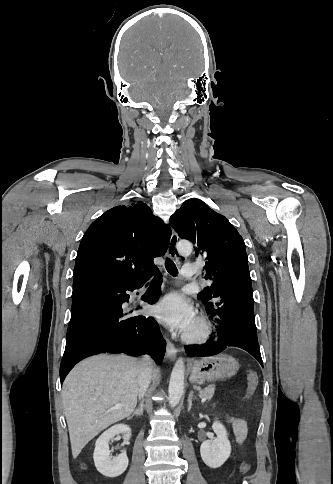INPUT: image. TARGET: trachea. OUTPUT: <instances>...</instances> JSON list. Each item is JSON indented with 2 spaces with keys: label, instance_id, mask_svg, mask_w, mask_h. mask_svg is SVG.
Instances as JSON below:
<instances>
[{
  "label": "trachea",
  "instance_id": "obj_1",
  "mask_svg": "<svg viewBox=\"0 0 333 484\" xmlns=\"http://www.w3.org/2000/svg\"><path fill=\"white\" fill-rule=\"evenodd\" d=\"M165 267L171 275L176 276L178 274V270L176 268V265L174 264V262L170 258L166 259Z\"/></svg>",
  "mask_w": 333,
  "mask_h": 484
}]
</instances>
